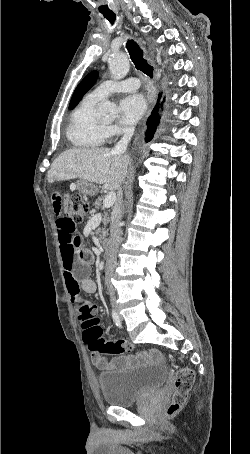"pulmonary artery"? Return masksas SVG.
<instances>
[{"label": "pulmonary artery", "instance_id": "1", "mask_svg": "<svg viewBox=\"0 0 250 454\" xmlns=\"http://www.w3.org/2000/svg\"><path fill=\"white\" fill-rule=\"evenodd\" d=\"M139 87L140 80L136 77L123 81L106 80L96 87L89 96L97 100H102L113 93L133 91Z\"/></svg>", "mask_w": 250, "mask_h": 454}]
</instances>
